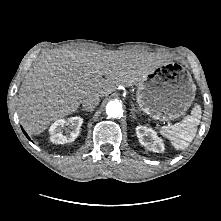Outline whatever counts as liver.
I'll return each instance as SVG.
<instances>
[{
  "mask_svg": "<svg viewBox=\"0 0 221 221\" xmlns=\"http://www.w3.org/2000/svg\"><path fill=\"white\" fill-rule=\"evenodd\" d=\"M160 64L157 56L144 52L51 51L30 69L20 88L22 126L40 134L53 121L74 113L85 97H103L120 86L130 87Z\"/></svg>",
  "mask_w": 221,
  "mask_h": 221,
  "instance_id": "obj_1",
  "label": "liver"
}]
</instances>
